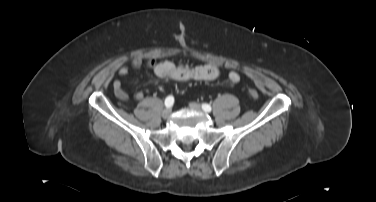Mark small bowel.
I'll return each instance as SVG.
<instances>
[{"mask_svg": "<svg viewBox=\"0 0 376 202\" xmlns=\"http://www.w3.org/2000/svg\"><path fill=\"white\" fill-rule=\"evenodd\" d=\"M132 67L135 69L142 66H148L159 79H168L180 82H187L191 80L198 81H212L216 80L220 75V67L215 63H206L201 65H189L187 63H178L174 61H156L153 59L145 60L140 56L132 59ZM129 73V68L126 65L118 69V75L125 77ZM240 76L231 72L228 76L230 85L235 86L239 83ZM113 93L119 100L127 102L129 100L128 93L124 90L122 82L115 79L112 83ZM144 97L143 92L137 91L134 94V99L137 101L142 100Z\"/></svg>", "mask_w": 376, "mask_h": 202, "instance_id": "small-bowel-1", "label": "small bowel"}]
</instances>
